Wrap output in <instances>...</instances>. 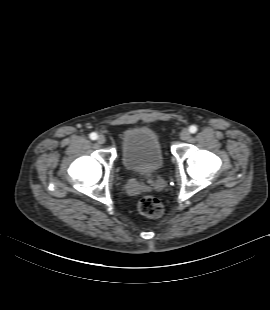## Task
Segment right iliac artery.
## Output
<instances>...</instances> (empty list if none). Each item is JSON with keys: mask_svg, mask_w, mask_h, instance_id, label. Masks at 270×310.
<instances>
[{"mask_svg": "<svg viewBox=\"0 0 270 310\" xmlns=\"http://www.w3.org/2000/svg\"><path fill=\"white\" fill-rule=\"evenodd\" d=\"M97 137H98V135H97L95 132H93V133L90 134V138H91L92 140H96Z\"/></svg>", "mask_w": 270, "mask_h": 310, "instance_id": "82829eb1", "label": "right iliac artery"}]
</instances>
